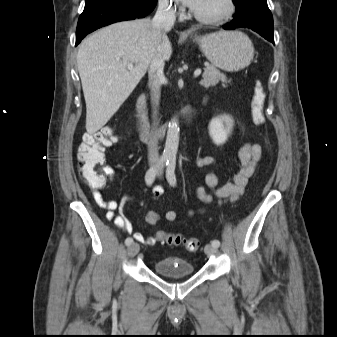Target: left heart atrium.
<instances>
[{"label":"left heart atrium","mask_w":337,"mask_h":337,"mask_svg":"<svg viewBox=\"0 0 337 337\" xmlns=\"http://www.w3.org/2000/svg\"><path fill=\"white\" fill-rule=\"evenodd\" d=\"M185 5L189 6L193 10L198 7L201 0H181Z\"/></svg>","instance_id":"left-heart-atrium-1"}]
</instances>
